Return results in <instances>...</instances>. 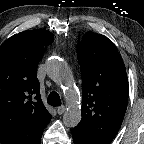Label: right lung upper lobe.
<instances>
[{"mask_svg":"<svg viewBox=\"0 0 144 144\" xmlns=\"http://www.w3.org/2000/svg\"><path fill=\"white\" fill-rule=\"evenodd\" d=\"M53 34L28 30L7 39L0 47V143L39 144L51 120L40 98L37 65Z\"/></svg>","mask_w":144,"mask_h":144,"instance_id":"1","label":"right lung upper lobe"}]
</instances>
